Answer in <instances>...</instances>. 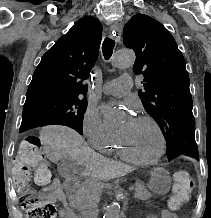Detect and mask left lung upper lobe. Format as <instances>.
<instances>
[{
	"instance_id": "obj_1",
	"label": "left lung upper lobe",
	"mask_w": 211,
	"mask_h": 218,
	"mask_svg": "<svg viewBox=\"0 0 211 218\" xmlns=\"http://www.w3.org/2000/svg\"><path fill=\"white\" fill-rule=\"evenodd\" d=\"M123 38L136 54L133 71L144 76L138 95L161 128L168 159H198L189 75L173 36L157 20L136 14L124 26Z\"/></svg>"
}]
</instances>
